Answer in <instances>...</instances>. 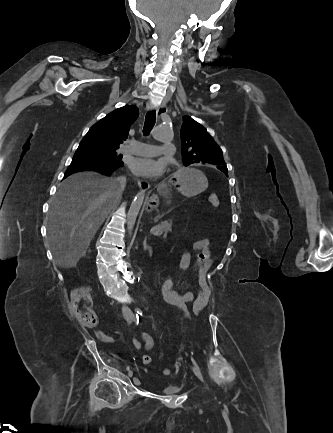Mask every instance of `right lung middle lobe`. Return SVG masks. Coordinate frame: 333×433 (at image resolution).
<instances>
[{"label":"right lung middle lobe","instance_id":"obj_1","mask_svg":"<svg viewBox=\"0 0 333 433\" xmlns=\"http://www.w3.org/2000/svg\"><path fill=\"white\" fill-rule=\"evenodd\" d=\"M117 149H106L97 147L89 142L81 141L74 159H93L108 163H118L121 161V156L117 155Z\"/></svg>","mask_w":333,"mask_h":433}]
</instances>
